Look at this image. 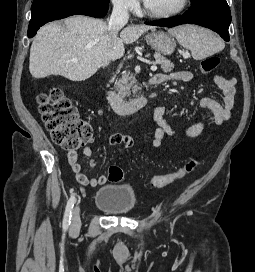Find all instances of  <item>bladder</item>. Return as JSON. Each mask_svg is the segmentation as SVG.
<instances>
[{
    "label": "bladder",
    "mask_w": 255,
    "mask_h": 272,
    "mask_svg": "<svg viewBox=\"0 0 255 272\" xmlns=\"http://www.w3.org/2000/svg\"><path fill=\"white\" fill-rule=\"evenodd\" d=\"M137 203L136 191L130 184H108L98 189L94 205L111 215H124L133 211Z\"/></svg>",
    "instance_id": "bladder-1"
}]
</instances>
